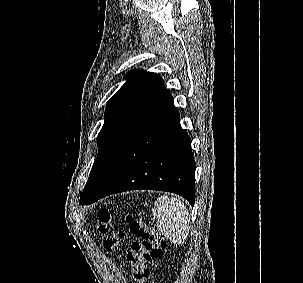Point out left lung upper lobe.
<instances>
[{
  "label": "left lung upper lobe",
  "mask_w": 303,
  "mask_h": 283,
  "mask_svg": "<svg viewBox=\"0 0 303 283\" xmlns=\"http://www.w3.org/2000/svg\"><path fill=\"white\" fill-rule=\"evenodd\" d=\"M126 79L107 103L104 125L97 137L99 152L82 195L95 192L107 179L163 87L159 75L143 70L130 72Z\"/></svg>",
  "instance_id": "1"
}]
</instances>
